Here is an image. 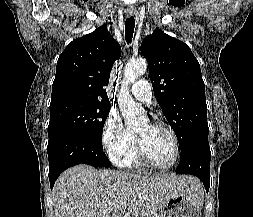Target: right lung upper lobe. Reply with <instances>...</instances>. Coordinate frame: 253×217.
Returning <instances> with one entry per match:
<instances>
[{"label": "right lung upper lobe", "instance_id": "1", "mask_svg": "<svg viewBox=\"0 0 253 217\" xmlns=\"http://www.w3.org/2000/svg\"><path fill=\"white\" fill-rule=\"evenodd\" d=\"M120 56L121 47L106 24L73 40L57 61L51 103L67 99L110 103L105 86Z\"/></svg>", "mask_w": 253, "mask_h": 217}]
</instances>
